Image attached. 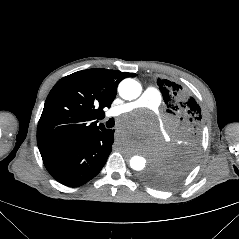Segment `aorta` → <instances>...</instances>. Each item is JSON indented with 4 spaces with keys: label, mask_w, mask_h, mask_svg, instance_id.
<instances>
[{
    "label": "aorta",
    "mask_w": 239,
    "mask_h": 239,
    "mask_svg": "<svg viewBox=\"0 0 239 239\" xmlns=\"http://www.w3.org/2000/svg\"><path fill=\"white\" fill-rule=\"evenodd\" d=\"M119 95L125 100H133L140 96L142 87L139 82L134 79L127 78L120 82L118 87ZM147 163L143 156L134 155L130 159V167L136 171H141Z\"/></svg>",
    "instance_id": "obj_1"
}]
</instances>
